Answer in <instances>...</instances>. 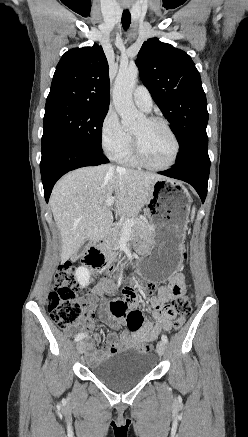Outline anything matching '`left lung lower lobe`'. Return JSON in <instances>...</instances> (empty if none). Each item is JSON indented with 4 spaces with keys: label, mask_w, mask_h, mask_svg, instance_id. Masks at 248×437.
I'll return each mask as SVG.
<instances>
[{
    "label": "left lung lower lobe",
    "mask_w": 248,
    "mask_h": 437,
    "mask_svg": "<svg viewBox=\"0 0 248 437\" xmlns=\"http://www.w3.org/2000/svg\"><path fill=\"white\" fill-rule=\"evenodd\" d=\"M210 159L208 156V138L201 140L175 165L159 174L183 180L191 184L199 194L202 203L207 194Z\"/></svg>",
    "instance_id": "0a47b994"
}]
</instances>
